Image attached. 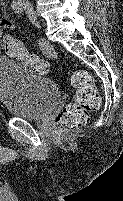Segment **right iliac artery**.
<instances>
[{"label": "right iliac artery", "instance_id": "1", "mask_svg": "<svg viewBox=\"0 0 123 201\" xmlns=\"http://www.w3.org/2000/svg\"><path fill=\"white\" fill-rule=\"evenodd\" d=\"M11 7L15 13H21L23 10L22 4L19 1H13Z\"/></svg>", "mask_w": 123, "mask_h": 201}]
</instances>
